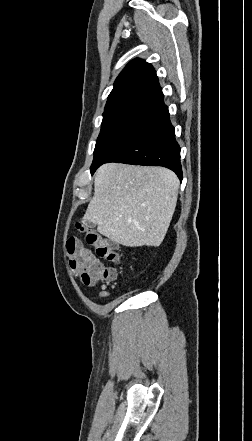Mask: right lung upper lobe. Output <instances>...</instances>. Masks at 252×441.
Here are the masks:
<instances>
[{
	"mask_svg": "<svg viewBox=\"0 0 252 441\" xmlns=\"http://www.w3.org/2000/svg\"><path fill=\"white\" fill-rule=\"evenodd\" d=\"M161 91L156 72L151 64L134 59L117 77L105 106L110 109L136 101H148Z\"/></svg>",
	"mask_w": 252,
	"mask_h": 441,
	"instance_id": "1",
	"label": "right lung upper lobe"
}]
</instances>
